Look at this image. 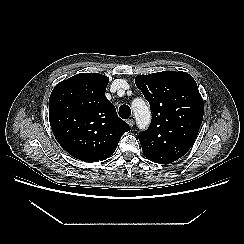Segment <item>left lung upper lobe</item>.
I'll return each mask as SVG.
<instances>
[{"instance_id": "1", "label": "left lung upper lobe", "mask_w": 244, "mask_h": 244, "mask_svg": "<svg viewBox=\"0 0 244 244\" xmlns=\"http://www.w3.org/2000/svg\"><path fill=\"white\" fill-rule=\"evenodd\" d=\"M136 86L150 104L152 121L139 134L143 154L152 162L172 163L193 145L204 114L195 80L186 72L163 71L138 75Z\"/></svg>"}]
</instances>
